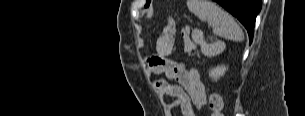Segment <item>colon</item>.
Here are the masks:
<instances>
[{
    "instance_id": "obj_1",
    "label": "colon",
    "mask_w": 305,
    "mask_h": 116,
    "mask_svg": "<svg viewBox=\"0 0 305 116\" xmlns=\"http://www.w3.org/2000/svg\"><path fill=\"white\" fill-rule=\"evenodd\" d=\"M209 105L212 112L211 116H223L222 114L223 103L219 95H217L216 93H210Z\"/></svg>"
}]
</instances>
